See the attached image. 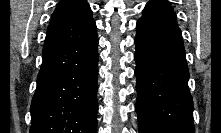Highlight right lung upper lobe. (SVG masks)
Returning a JSON list of instances; mask_svg holds the SVG:
<instances>
[{
    "instance_id": "1",
    "label": "right lung upper lobe",
    "mask_w": 221,
    "mask_h": 133,
    "mask_svg": "<svg viewBox=\"0 0 221 133\" xmlns=\"http://www.w3.org/2000/svg\"><path fill=\"white\" fill-rule=\"evenodd\" d=\"M95 32L96 25L86 0H61L52 14L44 47L81 44Z\"/></svg>"
}]
</instances>
